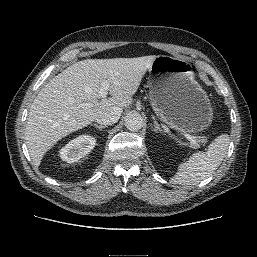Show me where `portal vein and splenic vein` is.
<instances>
[{
    "mask_svg": "<svg viewBox=\"0 0 257 257\" xmlns=\"http://www.w3.org/2000/svg\"><path fill=\"white\" fill-rule=\"evenodd\" d=\"M108 89H109V83L107 81H102L101 83V87L99 90V96L101 98L106 97L107 93H108ZM185 138L190 142L191 145H196V140L195 137L190 135V134H184Z\"/></svg>",
    "mask_w": 257,
    "mask_h": 257,
    "instance_id": "obj_1",
    "label": "portal vein and splenic vein"
}]
</instances>
